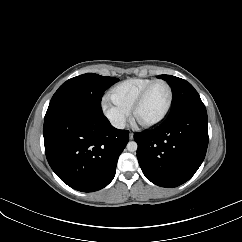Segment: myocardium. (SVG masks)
<instances>
[{
    "mask_svg": "<svg viewBox=\"0 0 242 242\" xmlns=\"http://www.w3.org/2000/svg\"><path fill=\"white\" fill-rule=\"evenodd\" d=\"M158 83L164 84L167 87L168 93H169L168 102H167V105H166L163 113L154 121L147 122V123L138 122L136 120V113H137L138 109L143 104V102H144L145 98L147 97L148 93L150 92V90ZM172 104H173V89H172L171 85L166 80L156 79L144 88V90L140 93V95L137 97L134 104L132 105V108L130 111L132 121L134 124H136L137 126H139L141 128L155 127L165 120V118L167 117V115L169 114V112L171 110Z\"/></svg>",
    "mask_w": 242,
    "mask_h": 242,
    "instance_id": "f54148a6",
    "label": "myocardium"
}]
</instances>
